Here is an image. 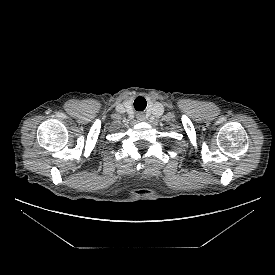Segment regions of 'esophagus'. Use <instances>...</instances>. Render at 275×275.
I'll return each instance as SVG.
<instances>
[{
	"mask_svg": "<svg viewBox=\"0 0 275 275\" xmlns=\"http://www.w3.org/2000/svg\"><path fill=\"white\" fill-rule=\"evenodd\" d=\"M137 119L140 121H144L145 120V115L143 113H138L137 114Z\"/></svg>",
	"mask_w": 275,
	"mask_h": 275,
	"instance_id": "1",
	"label": "esophagus"
}]
</instances>
